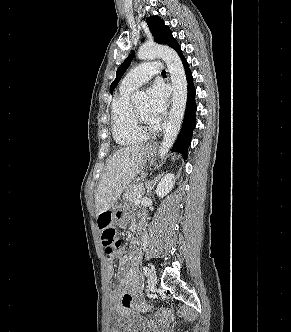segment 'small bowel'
<instances>
[{"instance_id": "obj_1", "label": "small bowel", "mask_w": 291, "mask_h": 332, "mask_svg": "<svg viewBox=\"0 0 291 332\" xmlns=\"http://www.w3.org/2000/svg\"><path fill=\"white\" fill-rule=\"evenodd\" d=\"M119 259L117 278L119 284L110 293L111 316L114 330L121 332H160L169 320V314L162 312L159 319L151 321L142 315L151 309L143 298L137 278V267L141 258L138 248L132 249L130 257L124 255L123 247L116 251ZM108 274L113 275V267L108 266Z\"/></svg>"}]
</instances>
